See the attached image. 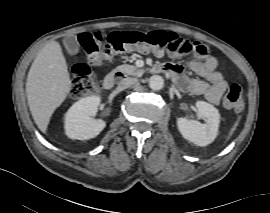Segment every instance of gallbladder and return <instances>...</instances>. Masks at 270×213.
<instances>
[{"mask_svg": "<svg viewBox=\"0 0 270 213\" xmlns=\"http://www.w3.org/2000/svg\"><path fill=\"white\" fill-rule=\"evenodd\" d=\"M63 44L66 47L69 54L74 55L78 53L79 43L77 38L73 35L67 36L63 39Z\"/></svg>", "mask_w": 270, "mask_h": 213, "instance_id": "gallbladder-1", "label": "gallbladder"}]
</instances>
